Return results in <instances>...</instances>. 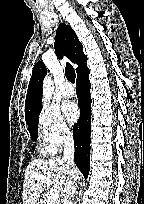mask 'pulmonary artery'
<instances>
[{"instance_id":"1","label":"pulmonary artery","mask_w":144,"mask_h":204,"mask_svg":"<svg viewBox=\"0 0 144 204\" xmlns=\"http://www.w3.org/2000/svg\"><path fill=\"white\" fill-rule=\"evenodd\" d=\"M61 93L64 97H72L74 95V88L70 83L66 82L62 86Z\"/></svg>"}]
</instances>
